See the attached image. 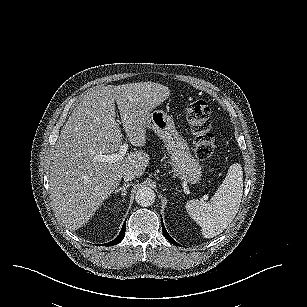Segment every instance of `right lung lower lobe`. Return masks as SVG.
<instances>
[{"label":"right lung lower lobe","mask_w":307,"mask_h":307,"mask_svg":"<svg viewBox=\"0 0 307 307\" xmlns=\"http://www.w3.org/2000/svg\"><path fill=\"white\" fill-rule=\"evenodd\" d=\"M125 229H126V224L124 223L119 235L113 241H111L107 244H104V246H113V245H116L117 243H119L124 238Z\"/></svg>","instance_id":"right-lung-lower-lobe-1"}]
</instances>
